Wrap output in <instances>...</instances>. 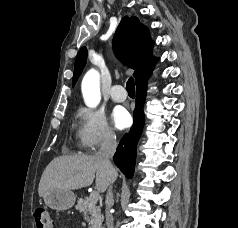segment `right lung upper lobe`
Wrapping results in <instances>:
<instances>
[{"instance_id": "obj_1", "label": "right lung upper lobe", "mask_w": 238, "mask_h": 228, "mask_svg": "<svg viewBox=\"0 0 238 228\" xmlns=\"http://www.w3.org/2000/svg\"><path fill=\"white\" fill-rule=\"evenodd\" d=\"M153 44L148 28L137 17L125 16L121 19L113 38V48L121 61L135 70L133 76L136 85L149 76L153 64L158 60L151 54ZM86 56L87 50L83 47L76 57L72 85L76 83L86 64Z\"/></svg>"}]
</instances>
